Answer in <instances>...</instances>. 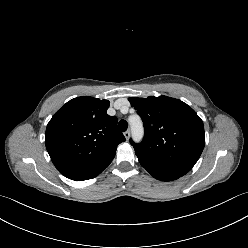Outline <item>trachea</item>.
I'll return each mask as SVG.
<instances>
[{"label": "trachea", "mask_w": 248, "mask_h": 248, "mask_svg": "<svg viewBox=\"0 0 248 248\" xmlns=\"http://www.w3.org/2000/svg\"><path fill=\"white\" fill-rule=\"evenodd\" d=\"M118 128L120 131L125 132L128 128V124L125 120H121L118 124Z\"/></svg>", "instance_id": "trachea-1"}]
</instances>
